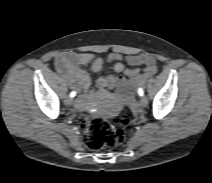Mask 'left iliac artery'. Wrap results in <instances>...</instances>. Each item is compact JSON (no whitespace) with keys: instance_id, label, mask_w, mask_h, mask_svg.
Wrapping results in <instances>:
<instances>
[{"instance_id":"left-iliac-artery-1","label":"left iliac artery","mask_w":212,"mask_h":183,"mask_svg":"<svg viewBox=\"0 0 212 183\" xmlns=\"http://www.w3.org/2000/svg\"><path fill=\"white\" fill-rule=\"evenodd\" d=\"M138 94H139L140 96H143V95H144V91H143L142 88H139V89H138Z\"/></svg>"}]
</instances>
